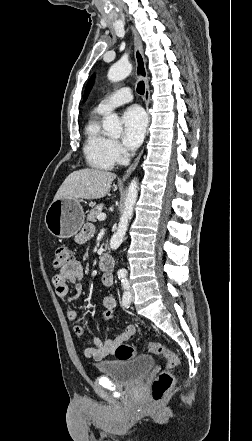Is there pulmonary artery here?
Masks as SVG:
<instances>
[{"label": "pulmonary artery", "mask_w": 252, "mask_h": 441, "mask_svg": "<svg viewBox=\"0 0 252 441\" xmlns=\"http://www.w3.org/2000/svg\"><path fill=\"white\" fill-rule=\"evenodd\" d=\"M132 99L131 89L124 87L103 99L96 107V110L101 113H107L120 105L130 102Z\"/></svg>", "instance_id": "obj_1"}]
</instances>
